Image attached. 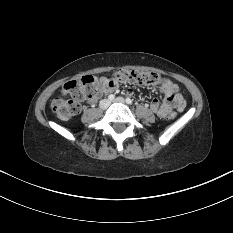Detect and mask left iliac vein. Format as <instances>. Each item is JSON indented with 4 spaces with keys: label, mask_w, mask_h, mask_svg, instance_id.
Instances as JSON below:
<instances>
[{
    "label": "left iliac vein",
    "mask_w": 233,
    "mask_h": 233,
    "mask_svg": "<svg viewBox=\"0 0 233 233\" xmlns=\"http://www.w3.org/2000/svg\"><path fill=\"white\" fill-rule=\"evenodd\" d=\"M114 102H117V103H122V104H126V101L124 98L122 97H117Z\"/></svg>",
    "instance_id": "left-iliac-vein-1"
}]
</instances>
